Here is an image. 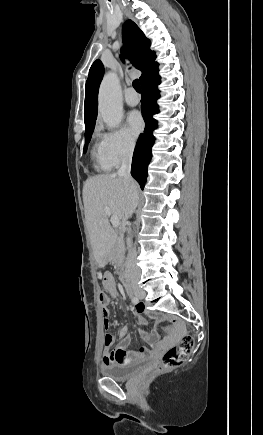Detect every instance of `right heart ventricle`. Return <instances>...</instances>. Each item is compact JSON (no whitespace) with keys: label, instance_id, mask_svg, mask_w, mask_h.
I'll list each match as a JSON object with an SVG mask.
<instances>
[{"label":"right heart ventricle","instance_id":"e07e8e85","mask_svg":"<svg viewBox=\"0 0 263 435\" xmlns=\"http://www.w3.org/2000/svg\"><path fill=\"white\" fill-rule=\"evenodd\" d=\"M91 156L96 170L109 171L113 167L105 154V150L101 141L94 142L91 149Z\"/></svg>","mask_w":263,"mask_h":435}]
</instances>
